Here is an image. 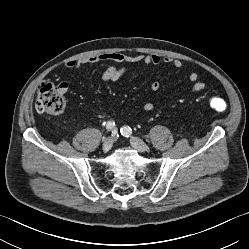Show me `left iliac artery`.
<instances>
[{
	"label": "left iliac artery",
	"instance_id": "left-iliac-artery-1",
	"mask_svg": "<svg viewBox=\"0 0 249 249\" xmlns=\"http://www.w3.org/2000/svg\"><path fill=\"white\" fill-rule=\"evenodd\" d=\"M120 131L125 137H129L132 134V129L129 126L122 127Z\"/></svg>",
	"mask_w": 249,
	"mask_h": 249
}]
</instances>
